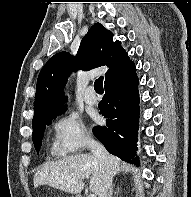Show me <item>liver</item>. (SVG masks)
Masks as SVG:
<instances>
[{
    "mask_svg": "<svg viewBox=\"0 0 191 197\" xmlns=\"http://www.w3.org/2000/svg\"><path fill=\"white\" fill-rule=\"evenodd\" d=\"M111 159L114 176L120 171L121 160L115 156ZM103 175V167L93 154H77L42 166L35 173L33 183L35 188L46 184L71 194H80L84 188L82 180L90 177L89 188L99 195Z\"/></svg>",
    "mask_w": 191,
    "mask_h": 197,
    "instance_id": "obj_1",
    "label": "liver"
}]
</instances>
